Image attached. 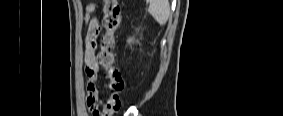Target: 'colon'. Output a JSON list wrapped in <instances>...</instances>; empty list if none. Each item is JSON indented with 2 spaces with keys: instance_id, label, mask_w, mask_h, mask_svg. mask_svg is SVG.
Wrapping results in <instances>:
<instances>
[{
  "instance_id": "obj_1",
  "label": "colon",
  "mask_w": 283,
  "mask_h": 116,
  "mask_svg": "<svg viewBox=\"0 0 283 116\" xmlns=\"http://www.w3.org/2000/svg\"><path fill=\"white\" fill-rule=\"evenodd\" d=\"M103 24L105 34L100 41V52L97 59L110 81V95L100 106L95 107L92 113L94 115L112 116L121 107L120 94L124 90V81L115 60L116 34L121 24V7L119 1H104Z\"/></svg>"
}]
</instances>
